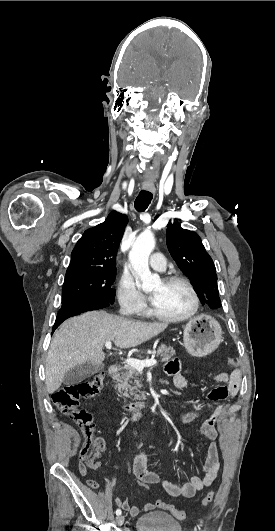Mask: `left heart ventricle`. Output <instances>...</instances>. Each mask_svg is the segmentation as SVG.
<instances>
[{"mask_svg": "<svg viewBox=\"0 0 275 531\" xmlns=\"http://www.w3.org/2000/svg\"><path fill=\"white\" fill-rule=\"evenodd\" d=\"M150 292L155 308L164 316H181L192 307L190 292L181 283L160 281Z\"/></svg>", "mask_w": 275, "mask_h": 531, "instance_id": "1", "label": "left heart ventricle"}]
</instances>
